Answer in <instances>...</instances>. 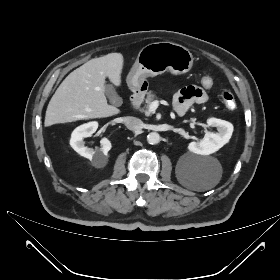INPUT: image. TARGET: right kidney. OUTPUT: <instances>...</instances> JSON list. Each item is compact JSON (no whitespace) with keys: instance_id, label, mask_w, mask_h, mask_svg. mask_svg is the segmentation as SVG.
<instances>
[{"instance_id":"obj_1","label":"right kidney","mask_w":280,"mask_h":280,"mask_svg":"<svg viewBox=\"0 0 280 280\" xmlns=\"http://www.w3.org/2000/svg\"><path fill=\"white\" fill-rule=\"evenodd\" d=\"M97 128L98 123L95 121L77 127L71 134L70 145L78 154L91 161L93 160L95 166L101 167L106 164L108 151L112 147L109 139L102 138L100 140L101 148L97 150L85 147L83 141L84 138L95 133Z\"/></svg>"}]
</instances>
